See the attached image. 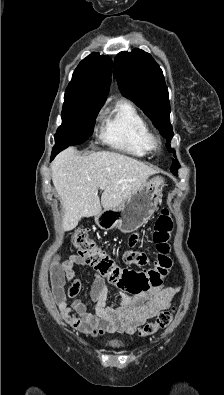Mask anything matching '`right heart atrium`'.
Instances as JSON below:
<instances>
[{
  "instance_id": "right-heart-atrium-1",
  "label": "right heart atrium",
  "mask_w": 224,
  "mask_h": 395,
  "mask_svg": "<svg viewBox=\"0 0 224 395\" xmlns=\"http://www.w3.org/2000/svg\"><path fill=\"white\" fill-rule=\"evenodd\" d=\"M102 116V110H99L98 114H97V119L101 118Z\"/></svg>"
}]
</instances>
